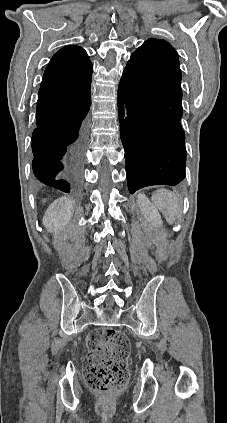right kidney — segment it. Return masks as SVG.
<instances>
[{
  "label": "right kidney",
  "mask_w": 227,
  "mask_h": 423,
  "mask_svg": "<svg viewBox=\"0 0 227 423\" xmlns=\"http://www.w3.org/2000/svg\"><path fill=\"white\" fill-rule=\"evenodd\" d=\"M73 213V202L67 196H63V198H58L53 204H50L43 215L42 223L48 231L57 233L59 229L66 227L67 223L72 219Z\"/></svg>",
  "instance_id": "1"
}]
</instances>
